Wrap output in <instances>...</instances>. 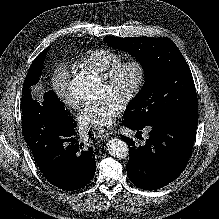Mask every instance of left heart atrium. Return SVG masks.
Masks as SVG:
<instances>
[{
    "mask_svg": "<svg viewBox=\"0 0 219 219\" xmlns=\"http://www.w3.org/2000/svg\"><path fill=\"white\" fill-rule=\"evenodd\" d=\"M121 112V103L111 95L86 105L78 114V122L84 128H104L110 126Z\"/></svg>",
    "mask_w": 219,
    "mask_h": 219,
    "instance_id": "1",
    "label": "left heart atrium"
}]
</instances>
